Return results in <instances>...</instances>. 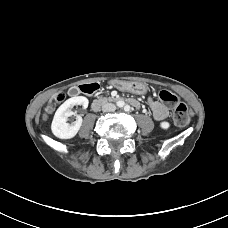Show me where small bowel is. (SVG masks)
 <instances>
[{"instance_id":"c3829d8e","label":"small bowel","mask_w":228,"mask_h":228,"mask_svg":"<svg viewBox=\"0 0 228 228\" xmlns=\"http://www.w3.org/2000/svg\"><path fill=\"white\" fill-rule=\"evenodd\" d=\"M117 86L121 89L130 88V86L127 83H117ZM131 104L135 107H139L140 105L139 102L135 99L131 100ZM148 104L156 120H163L167 117L169 111L165 105L151 97L148 98Z\"/></svg>"}]
</instances>
